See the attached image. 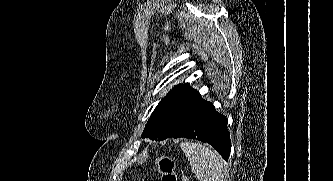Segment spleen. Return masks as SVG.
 Masks as SVG:
<instances>
[{"label":"spleen","mask_w":333,"mask_h":181,"mask_svg":"<svg viewBox=\"0 0 333 181\" xmlns=\"http://www.w3.org/2000/svg\"><path fill=\"white\" fill-rule=\"evenodd\" d=\"M191 168L196 170L199 181H220L223 175V160L206 146L194 142L180 144Z\"/></svg>","instance_id":"obj_1"}]
</instances>
